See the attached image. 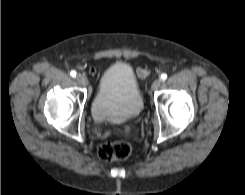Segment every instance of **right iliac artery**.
<instances>
[{
    "label": "right iliac artery",
    "mask_w": 245,
    "mask_h": 195,
    "mask_svg": "<svg viewBox=\"0 0 245 195\" xmlns=\"http://www.w3.org/2000/svg\"><path fill=\"white\" fill-rule=\"evenodd\" d=\"M70 75H71L72 77H76L77 73H76V71L72 70V71L70 72Z\"/></svg>",
    "instance_id": "1"
}]
</instances>
